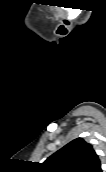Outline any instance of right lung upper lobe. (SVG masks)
<instances>
[{"instance_id":"obj_1","label":"right lung upper lobe","mask_w":106,"mask_h":172,"mask_svg":"<svg viewBox=\"0 0 106 172\" xmlns=\"http://www.w3.org/2000/svg\"><path fill=\"white\" fill-rule=\"evenodd\" d=\"M47 172H103L91 144L77 138L48 157L43 163Z\"/></svg>"}]
</instances>
